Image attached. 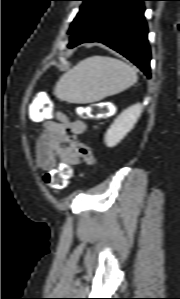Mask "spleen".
<instances>
[{"label":"spleen","mask_w":180,"mask_h":299,"mask_svg":"<svg viewBox=\"0 0 180 299\" xmlns=\"http://www.w3.org/2000/svg\"><path fill=\"white\" fill-rule=\"evenodd\" d=\"M129 64L112 57L92 56L80 61L57 82L55 96L61 101L84 104L120 93L137 82Z\"/></svg>","instance_id":"obj_1"}]
</instances>
